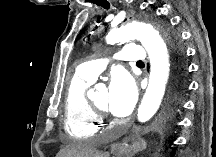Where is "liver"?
Masks as SVG:
<instances>
[{"instance_id": "obj_1", "label": "liver", "mask_w": 216, "mask_h": 157, "mask_svg": "<svg viewBox=\"0 0 216 157\" xmlns=\"http://www.w3.org/2000/svg\"><path fill=\"white\" fill-rule=\"evenodd\" d=\"M108 155L96 151L87 143L74 142L62 149L57 157H107Z\"/></svg>"}]
</instances>
